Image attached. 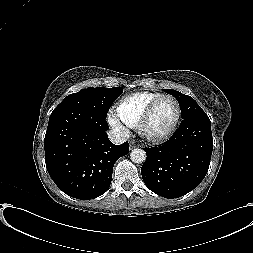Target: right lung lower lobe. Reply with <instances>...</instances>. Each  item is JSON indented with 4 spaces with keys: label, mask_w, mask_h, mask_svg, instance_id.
I'll return each instance as SVG.
<instances>
[{
    "label": "right lung lower lobe",
    "mask_w": 253,
    "mask_h": 253,
    "mask_svg": "<svg viewBox=\"0 0 253 253\" xmlns=\"http://www.w3.org/2000/svg\"><path fill=\"white\" fill-rule=\"evenodd\" d=\"M105 118L80 108L54 110L44 139L45 162L55 184L67 195L89 200L104 194L128 142L113 144Z\"/></svg>",
    "instance_id": "obj_1"
}]
</instances>
